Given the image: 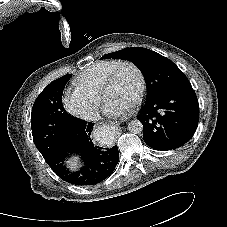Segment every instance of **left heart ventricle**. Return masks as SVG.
<instances>
[{"mask_svg": "<svg viewBox=\"0 0 227 227\" xmlns=\"http://www.w3.org/2000/svg\"><path fill=\"white\" fill-rule=\"evenodd\" d=\"M138 91V76L131 67L121 70L114 85L105 95L106 101H118L132 104Z\"/></svg>", "mask_w": 227, "mask_h": 227, "instance_id": "b2bd125f", "label": "left heart ventricle"}]
</instances>
